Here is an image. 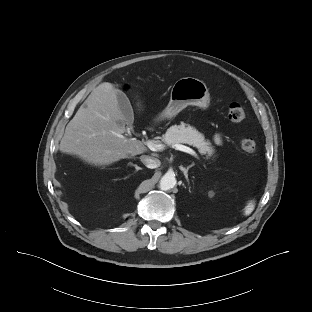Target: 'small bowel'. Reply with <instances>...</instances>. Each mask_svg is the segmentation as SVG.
<instances>
[{"label":"small bowel","instance_id":"obj_1","mask_svg":"<svg viewBox=\"0 0 312 312\" xmlns=\"http://www.w3.org/2000/svg\"><path fill=\"white\" fill-rule=\"evenodd\" d=\"M213 140L216 144H221L223 142V136L217 133L214 135Z\"/></svg>","mask_w":312,"mask_h":312}]
</instances>
